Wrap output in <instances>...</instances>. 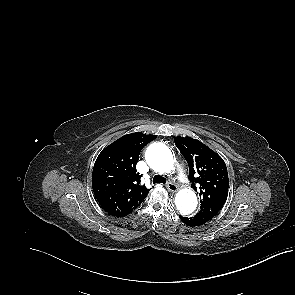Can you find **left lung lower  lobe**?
Returning <instances> with one entry per match:
<instances>
[{
  "label": "left lung lower lobe",
  "instance_id": "0a47b994",
  "mask_svg": "<svg viewBox=\"0 0 295 295\" xmlns=\"http://www.w3.org/2000/svg\"><path fill=\"white\" fill-rule=\"evenodd\" d=\"M214 216L215 214L198 212L194 217L188 218V217L180 216V219L182 220L183 223H185L188 226H199V225L205 224L206 222L211 220Z\"/></svg>",
  "mask_w": 295,
  "mask_h": 295
}]
</instances>
